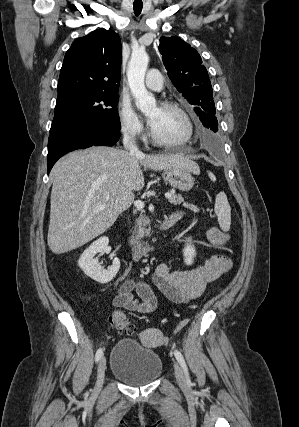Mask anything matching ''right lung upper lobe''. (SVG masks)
<instances>
[{
    "mask_svg": "<svg viewBox=\"0 0 299 427\" xmlns=\"http://www.w3.org/2000/svg\"><path fill=\"white\" fill-rule=\"evenodd\" d=\"M121 41L113 30L98 29L77 38L66 52L57 100L86 92H117Z\"/></svg>",
    "mask_w": 299,
    "mask_h": 427,
    "instance_id": "right-lung-upper-lobe-1",
    "label": "right lung upper lobe"
}]
</instances>
